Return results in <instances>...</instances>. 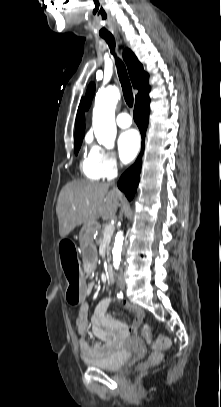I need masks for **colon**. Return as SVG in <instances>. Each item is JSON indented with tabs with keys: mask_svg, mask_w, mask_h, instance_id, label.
<instances>
[{
	"mask_svg": "<svg viewBox=\"0 0 221 407\" xmlns=\"http://www.w3.org/2000/svg\"><path fill=\"white\" fill-rule=\"evenodd\" d=\"M61 263L68 280L67 306H81L85 294L82 291L83 284L80 277L79 264L75 255L74 246L70 241H63L60 244ZM142 334L147 342L152 346L153 352L147 361L141 365V369L158 364L162 359V351L170 347V340L165 337H156L148 325L142 328Z\"/></svg>",
	"mask_w": 221,
	"mask_h": 407,
	"instance_id": "colon-1",
	"label": "colon"
}]
</instances>
